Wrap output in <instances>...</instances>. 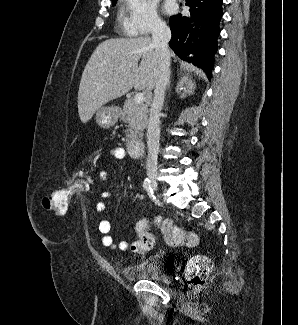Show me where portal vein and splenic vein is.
I'll list each match as a JSON object with an SVG mask.
<instances>
[{"label":"portal vein and splenic vein","instance_id":"portal-vein-and-splenic-vein-1","mask_svg":"<svg viewBox=\"0 0 298 325\" xmlns=\"http://www.w3.org/2000/svg\"><path fill=\"white\" fill-rule=\"evenodd\" d=\"M134 100H135V102H137V104H142V102H144L143 92H136V94L134 96Z\"/></svg>","mask_w":298,"mask_h":325}]
</instances>
